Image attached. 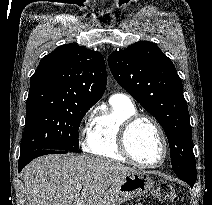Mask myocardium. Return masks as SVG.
<instances>
[{
	"label": "myocardium",
	"instance_id": "myocardium-1",
	"mask_svg": "<svg viewBox=\"0 0 212 205\" xmlns=\"http://www.w3.org/2000/svg\"><path fill=\"white\" fill-rule=\"evenodd\" d=\"M142 120H146L148 122H150L154 128L157 130L161 142H162V148H163V153H162V157L160 158L159 161L155 162V163H144L141 162L139 160H137L133 154L131 153L130 149H129V144H128V138H129V134L131 129L134 127V125L136 123H138L139 121ZM118 148L120 153L131 163L140 166V167H144V168H155V167H159L160 165H162L165 160L167 159L168 156V141L165 135V132L162 128V126L159 124V122L153 118L150 115L147 114H141V113H136L130 117H128L120 126L119 132H118Z\"/></svg>",
	"mask_w": 212,
	"mask_h": 205
}]
</instances>
